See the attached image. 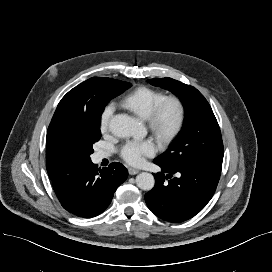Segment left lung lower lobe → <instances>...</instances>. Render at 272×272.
Wrapping results in <instances>:
<instances>
[{
  "mask_svg": "<svg viewBox=\"0 0 272 272\" xmlns=\"http://www.w3.org/2000/svg\"><path fill=\"white\" fill-rule=\"evenodd\" d=\"M155 175V186L145 194L149 209L159 218L179 223L198 214L212 198L222 163L191 162L164 165Z\"/></svg>",
  "mask_w": 272,
  "mask_h": 272,
  "instance_id": "0a47b994",
  "label": "left lung lower lobe"
}]
</instances>
